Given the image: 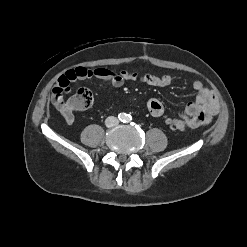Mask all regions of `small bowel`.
Listing matches in <instances>:
<instances>
[{"label":"small bowel","instance_id":"c3829d8e","mask_svg":"<svg viewBox=\"0 0 247 247\" xmlns=\"http://www.w3.org/2000/svg\"><path fill=\"white\" fill-rule=\"evenodd\" d=\"M91 78L108 81L117 88L123 86L128 81L165 87L170 85L173 80L169 75L140 74L130 70L115 72L107 68L88 69L84 67L68 70L59 77L53 88L52 102L69 125L74 122L75 110L71 107L69 100H64L63 95L70 91L73 82ZM193 89L195 91V100L188 103L180 114L181 121L189 128H197L209 124L219 111L218 100L211 89L200 81L193 82ZM147 108L154 117H159L164 113L163 104L156 98L149 99Z\"/></svg>","mask_w":247,"mask_h":247}]
</instances>
